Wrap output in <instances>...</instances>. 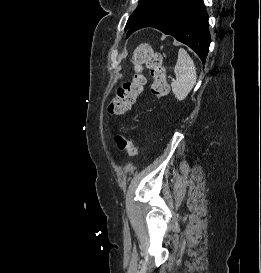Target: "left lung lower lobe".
<instances>
[{
  "mask_svg": "<svg viewBox=\"0 0 261 273\" xmlns=\"http://www.w3.org/2000/svg\"><path fill=\"white\" fill-rule=\"evenodd\" d=\"M144 27H153L172 35L205 62L211 39L203 0H168L135 22L129 28L127 37Z\"/></svg>",
  "mask_w": 261,
  "mask_h": 273,
  "instance_id": "left-lung-lower-lobe-1",
  "label": "left lung lower lobe"
}]
</instances>
